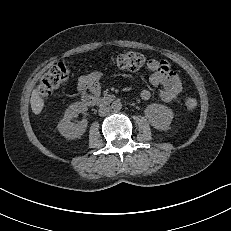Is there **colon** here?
Returning <instances> with one entry per match:
<instances>
[{
    "mask_svg": "<svg viewBox=\"0 0 231 231\" xmlns=\"http://www.w3.org/2000/svg\"><path fill=\"white\" fill-rule=\"evenodd\" d=\"M144 56L137 52L120 53L111 59V63L118 69L126 71H137L144 65ZM71 67L65 63H58L50 68L42 77L38 86L39 94L43 97L50 96L61 84L71 76ZM184 107L188 112L197 108V100L194 97H187Z\"/></svg>",
    "mask_w": 231,
    "mask_h": 231,
    "instance_id": "obj_1",
    "label": "colon"
}]
</instances>
